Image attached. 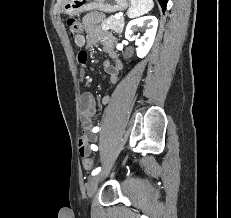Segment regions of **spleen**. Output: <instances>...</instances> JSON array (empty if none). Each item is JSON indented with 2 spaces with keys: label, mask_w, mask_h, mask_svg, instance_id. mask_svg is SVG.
Wrapping results in <instances>:
<instances>
[{
  "label": "spleen",
  "mask_w": 231,
  "mask_h": 218,
  "mask_svg": "<svg viewBox=\"0 0 231 218\" xmlns=\"http://www.w3.org/2000/svg\"><path fill=\"white\" fill-rule=\"evenodd\" d=\"M153 7V0H131V6L127 11V16L129 18L138 17L148 13Z\"/></svg>",
  "instance_id": "spleen-1"
}]
</instances>
